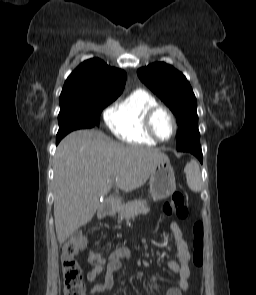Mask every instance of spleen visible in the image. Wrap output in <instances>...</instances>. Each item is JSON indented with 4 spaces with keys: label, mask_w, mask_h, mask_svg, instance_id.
Here are the masks:
<instances>
[{
    "label": "spleen",
    "mask_w": 256,
    "mask_h": 295,
    "mask_svg": "<svg viewBox=\"0 0 256 295\" xmlns=\"http://www.w3.org/2000/svg\"><path fill=\"white\" fill-rule=\"evenodd\" d=\"M186 178H187V184L192 191L198 192L201 190V187H202L201 172L197 162L191 161L187 165Z\"/></svg>",
    "instance_id": "1"
}]
</instances>
